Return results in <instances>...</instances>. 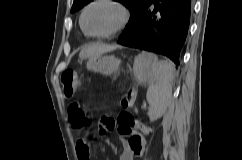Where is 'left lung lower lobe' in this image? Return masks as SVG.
<instances>
[{"instance_id":"left-lung-lower-lobe-1","label":"left lung lower lobe","mask_w":242,"mask_h":160,"mask_svg":"<svg viewBox=\"0 0 242 160\" xmlns=\"http://www.w3.org/2000/svg\"><path fill=\"white\" fill-rule=\"evenodd\" d=\"M192 0H148L117 43L162 54L179 64L188 33Z\"/></svg>"}]
</instances>
